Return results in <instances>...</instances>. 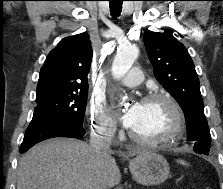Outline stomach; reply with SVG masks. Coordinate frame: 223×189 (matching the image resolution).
<instances>
[{
  "instance_id": "0dacf381",
  "label": "stomach",
  "mask_w": 223,
  "mask_h": 189,
  "mask_svg": "<svg viewBox=\"0 0 223 189\" xmlns=\"http://www.w3.org/2000/svg\"><path fill=\"white\" fill-rule=\"evenodd\" d=\"M133 178L142 185L151 186L163 183L169 176L167 160L151 151L140 152L129 162Z\"/></svg>"
}]
</instances>
